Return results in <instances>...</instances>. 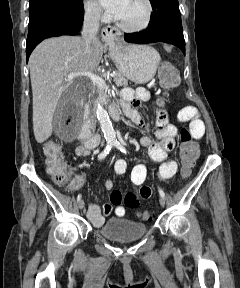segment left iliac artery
<instances>
[{"instance_id":"44dca946","label":"left iliac artery","mask_w":240,"mask_h":288,"mask_svg":"<svg viewBox=\"0 0 240 288\" xmlns=\"http://www.w3.org/2000/svg\"><path fill=\"white\" fill-rule=\"evenodd\" d=\"M120 140H121V139H120ZM114 146H115L117 149H119L121 152H123V153H126V152H127V150H126V148H125L124 143L122 142V140H121V143H120L119 141H117V140H114ZM159 194H160L161 197L165 198V193H164V191H163L161 188H159Z\"/></svg>"}]
</instances>
